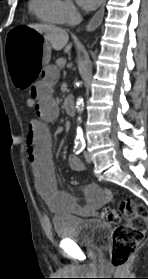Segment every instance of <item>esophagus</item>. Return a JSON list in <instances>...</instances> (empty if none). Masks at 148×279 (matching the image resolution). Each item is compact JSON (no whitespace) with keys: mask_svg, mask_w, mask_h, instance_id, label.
<instances>
[{"mask_svg":"<svg viewBox=\"0 0 148 279\" xmlns=\"http://www.w3.org/2000/svg\"><path fill=\"white\" fill-rule=\"evenodd\" d=\"M105 3H106V0H103L101 7L94 14V16L91 18L88 25L86 26V31H89V32L94 31L102 23L103 17H104Z\"/></svg>","mask_w":148,"mask_h":279,"instance_id":"obj_1","label":"esophagus"}]
</instances>
